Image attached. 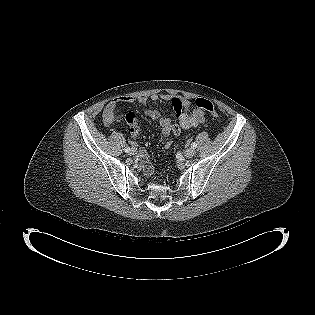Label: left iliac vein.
<instances>
[{"label": "left iliac vein", "instance_id": "left-iliac-vein-1", "mask_svg": "<svg viewBox=\"0 0 315 315\" xmlns=\"http://www.w3.org/2000/svg\"><path fill=\"white\" fill-rule=\"evenodd\" d=\"M195 153H196V151L194 150V148H188V149H186L184 154H185V157L191 158L195 155Z\"/></svg>", "mask_w": 315, "mask_h": 315}]
</instances>
